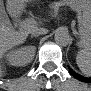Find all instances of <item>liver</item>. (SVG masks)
Listing matches in <instances>:
<instances>
[{
  "label": "liver",
  "instance_id": "obj_1",
  "mask_svg": "<svg viewBox=\"0 0 91 91\" xmlns=\"http://www.w3.org/2000/svg\"><path fill=\"white\" fill-rule=\"evenodd\" d=\"M61 4L62 3H58L57 6ZM3 21L1 22L0 32L1 55H3L9 48L22 44L31 33L32 29L37 27V22L35 20H28L20 26L18 31H15L8 21V16L6 14L3 16ZM31 48L32 49L28 52L27 56L23 58L22 62L17 66L25 65L33 59L35 49L34 47Z\"/></svg>",
  "mask_w": 91,
  "mask_h": 91
}]
</instances>
